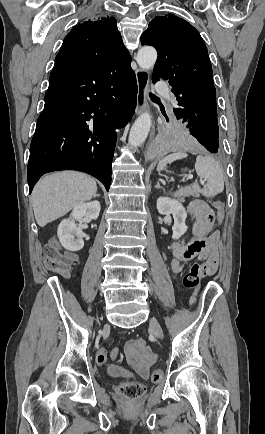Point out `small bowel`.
Returning <instances> with one entry per match:
<instances>
[{"label": "small bowel", "instance_id": "obj_1", "mask_svg": "<svg viewBox=\"0 0 265 434\" xmlns=\"http://www.w3.org/2000/svg\"><path fill=\"white\" fill-rule=\"evenodd\" d=\"M188 213L194 219L192 226L193 237L188 240H175L171 244V269L180 273L184 263L198 259L204 261L209 267L201 269L200 277L213 275L218 264L217 242L218 231H213L214 214L209 204L202 199L193 200L188 206ZM195 302H198L200 291H195ZM125 352L129 363L144 379L149 378L148 366L154 362L157 355L141 337L126 341Z\"/></svg>", "mask_w": 265, "mask_h": 434}]
</instances>
